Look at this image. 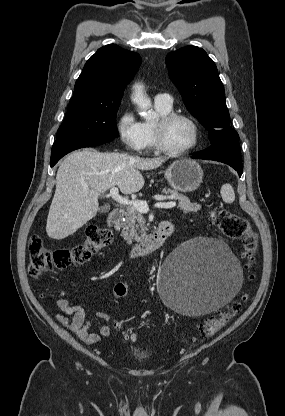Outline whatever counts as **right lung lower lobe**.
Segmentation results:
<instances>
[{
    "label": "right lung lower lobe",
    "mask_w": 285,
    "mask_h": 416,
    "mask_svg": "<svg viewBox=\"0 0 285 416\" xmlns=\"http://www.w3.org/2000/svg\"><path fill=\"white\" fill-rule=\"evenodd\" d=\"M113 138H65L54 142L51 151L50 165L53 167L64 155L85 147L101 145L112 141Z\"/></svg>",
    "instance_id": "98d812e1"
}]
</instances>
